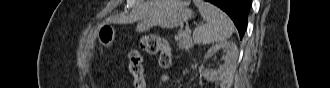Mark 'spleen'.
Listing matches in <instances>:
<instances>
[{"label": "spleen", "mask_w": 330, "mask_h": 88, "mask_svg": "<svg viewBox=\"0 0 330 88\" xmlns=\"http://www.w3.org/2000/svg\"><path fill=\"white\" fill-rule=\"evenodd\" d=\"M194 4L206 22L205 25L194 30L193 40L195 43L209 45L231 37L234 32V24L226 13L203 0H194Z\"/></svg>", "instance_id": "spleen-1"}]
</instances>
